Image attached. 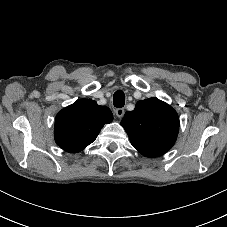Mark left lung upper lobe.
Returning <instances> with one entry per match:
<instances>
[{"label":"left lung upper lobe","instance_id":"obj_1","mask_svg":"<svg viewBox=\"0 0 227 227\" xmlns=\"http://www.w3.org/2000/svg\"><path fill=\"white\" fill-rule=\"evenodd\" d=\"M121 125L137 151L146 157H158L174 145L179 117L167 103L149 98L137 102L133 111H127Z\"/></svg>","mask_w":227,"mask_h":227}]
</instances>
